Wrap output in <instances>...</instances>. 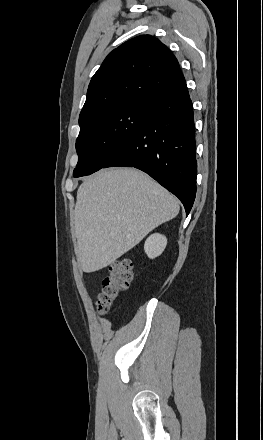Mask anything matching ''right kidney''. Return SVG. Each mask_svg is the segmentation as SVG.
I'll return each mask as SVG.
<instances>
[{
	"label": "right kidney",
	"instance_id": "obj_1",
	"mask_svg": "<svg viewBox=\"0 0 263 440\" xmlns=\"http://www.w3.org/2000/svg\"><path fill=\"white\" fill-rule=\"evenodd\" d=\"M167 245V238L161 234H153L147 238L144 244V250L151 259L162 254Z\"/></svg>",
	"mask_w": 263,
	"mask_h": 440
}]
</instances>
